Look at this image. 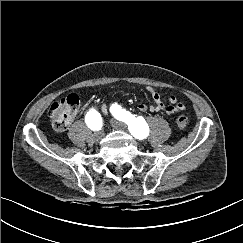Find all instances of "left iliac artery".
<instances>
[{"mask_svg":"<svg viewBox=\"0 0 243 243\" xmlns=\"http://www.w3.org/2000/svg\"><path fill=\"white\" fill-rule=\"evenodd\" d=\"M110 112L116 119L128 124L129 130L135 138L147 137L149 128L143 117H135L117 104H112Z\"/></svg>","mask_w":243,"mask_h":243,"instance_id":"left-iliac-artery-1","label":"left iliac artery"}]
</instances>
